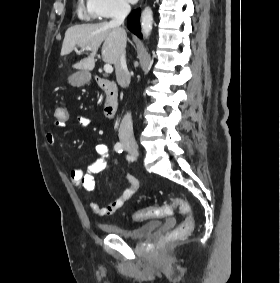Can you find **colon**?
<instances>
[{"label":"colon","mask_w":280,"mask_h":283,"mask_svg":"<svg viewBox=\"0 0 280 283\" xmlns=\"http://www.w3.org/2000/svg\"><path fill=\"white\" fill-rule=\"evenodd\" d=\"M72 118L73 115L70 114V111H68L67 107H63V105H57V107L54 108L55 122H68V119ZM174 208L179 209L183 215V220L177 228L168 234V237L182 238L189 235L193 230L194 219L192 217L190 205L180 198H176L169 204L163 206H154L137 210L133 217L136 221H141L148 218L168 217L172 214Z\"/></svg>","instance_id":"obj_1"}]
</instances>
